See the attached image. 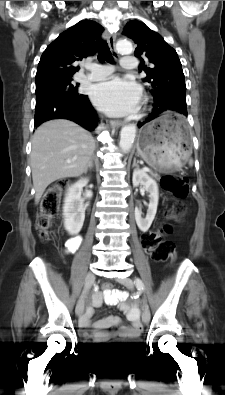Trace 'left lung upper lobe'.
Here are the masks:
<instances>
[{"instance_id": "5c2ea615", "label": "left lung upper lobe", "mask_w": 225, "mask_h": 395, "mask_svg": "<svg viewBox=\"0 0 225 395\" xmlns=\"http://www.w3.org/2000/svg\"><path fill=\"white\" fill-rule=\"evenodd\" d=\"M123 34L138 45L135 56L141 60L139 71L147 74L144 81L151 85L154 98L185 99L184 74L175 49L157 32L138 20L129 21ZM146 62H149L150 66H147Z\"/></svg>"}]
</instances>
